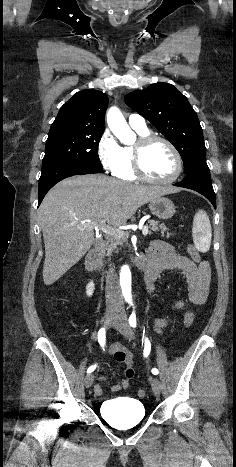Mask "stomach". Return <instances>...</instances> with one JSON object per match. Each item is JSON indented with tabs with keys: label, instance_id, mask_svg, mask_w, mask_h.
I'll use <instances>...</instances> for the list:
<instances>
[{
	"label": "stomach",
	"instance_id": "0dacf381",
	"mask_svg": "<svg viewBox=\"0 0 236 467\" xmlns=\"http://www.w3.org/2000/svg\"><path fill=\"white\" fill-rule=\"evenodd\" d=\"M149 209L159 219L167 220L175 213V205L165 197H158L149 202Z\"/></svg>",
	"mask_w": 236,
	"mask_h": 467
}]
</instances>
